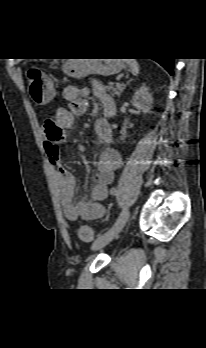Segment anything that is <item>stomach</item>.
Masks as SVG:
<instances>
[{
    "label": "stomach",
    "instance_id": "obj_1",
    "mask_svg": "<svg viewBox=\"0 0 206 348\" xmlns=\"http://www.w3.org/2000/svg\"><path fill=\"white\" fill-rule=\"evenodd\" d=\"M123 68L124 63L120 59H68L62 70L70 77L83 78L90 74L110 76ZM46 102V98L40 100L41 104Z\"/></svg>",
    "mask_w": 206,
    "mask_h": 348
}]
</instances>
